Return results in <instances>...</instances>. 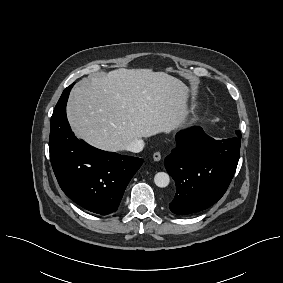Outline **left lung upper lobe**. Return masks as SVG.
Returning a JSON list of instances; mask_svg holds the SVG:
<instances>
[{
    "instance_id": "obj_1",
    "label": "left lung upper lobe",
    "mask_w": 283,
    "mask_h": 283,
    "mask_svg": "<svg viewBox=\"0 0 283 283\" xmlns=\"http://www.w3.org/2000/svg\"><path fill=\"white\" fill-rule=\"evenodd\" d=\"M236 133H237V135L239 136V137H241V132L238 130V131H236Z\"/></svg>"
}]
</instances>
